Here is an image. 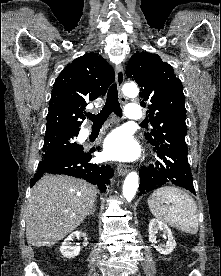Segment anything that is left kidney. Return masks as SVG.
Listing matches in <instances>:
<instances>
[{"label": "left kidney", "instance_id": "5707ae66", "mask_svg": "<svg viewBox=\"0 0 221 276\" xmlns=\"http://www.w3.org/2000/svg\"><path fill=\"white\" fill-rule=\"evenodd\" d=\"M161 230L167 237V242L164 245L154 246L155 249L164 255L170 254L176 247V242L172 235L171 229L162 221L158 219H152L149 223V241L152 244H156V234Z\"/></svg>", "mask_w": 221, "mask_h": 276}]
</instances>
